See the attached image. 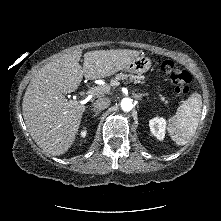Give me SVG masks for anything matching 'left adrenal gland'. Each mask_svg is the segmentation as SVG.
I'll use <instances>...</instances> for the list:
<instances>
[{
	"instance_id": "left-adrenal-gland-1",
	"label": "left adrenal gland",
	"mask_w": 221,
	"mask_h": 221,
	"mask_svg": "<svg viewBox=\"0 0 221 221\" xmlns=\"http://www.w3.org/2000/svg\"><path fill=\"white\" fill-rule=\"evenodd\" d=\"M135 96L137 97V99H142V97H144V96H148V94L147 93H145V94H135Z\"/></svg>"
}]
</instances>
